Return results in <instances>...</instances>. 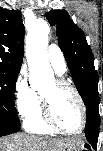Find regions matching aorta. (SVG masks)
<instances>
[{
  "label": "aorta",
  "instance_id": "1",
  "mask_svg": "<svg viewBox=\"0 0 103 151\" xmlns=\"http://www.w3.org/2000/svg\"><path fill=\"white\" fill-rule=\"evenodd\" d=\"M49 32L48 23L42 19L35 20L28 29L26 57L31 76L43 78L45 73L52 72L47 54Z\"/></svg>",
  "mask_w": 103,
  "mask_h": 151
}]
</instances>
